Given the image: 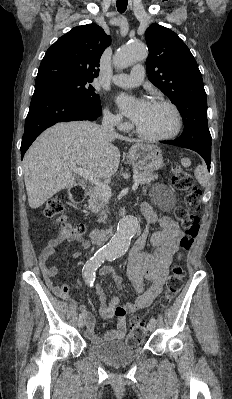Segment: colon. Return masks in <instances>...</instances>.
Masks as SVG:
<instances>
[{"label":"colon","mask_w":232,"mask_h":399,"mask_svg":"<svg viewBox=\"0 0 232 399\" xmlns=\"http://www.w3.org/2000/svg\"><path fill=\"white\" fill-rule=\"evenodd\" d=\"M175 164L180 165L181 168L192 167V164L188 163L187 160H176ZM174 179L178 182L182 191L181 209H176V214L178 218H181V222H183L182 230L185 236L181 238L182 245L176 249L175 258L178 261L169 269L171 276H166V281L168 282L165 284V288L161 294L160 303L152 309V314L156 318L163 317L165 312H168L172 308V302L176 294L182 289V279L185 274V265L182 262L188 258V248L194 244V239L197 238L199 230V217H196V214H198L200 207L199 203L194 202L195 196H201V191H194L191 175H187L183 170H178L174 174ZM62 208L63 203L61 200H51L44 206V216H50V219H64V214H56ZM56 231H61V226H56ZM64 231L72 232L73 228L70 227V224H65ZM78 232H83V227H78ZM52 288L53 290H58V294L62 298H67L71 294L70 287L64 285V283H53ZM130 322L134 325H132V330L126 337L124 347H136V344L139 341H144L145 338V323L137 322L135 317H132Z\"/></svg>","instance_id":"obj_1"}]
</instances>
